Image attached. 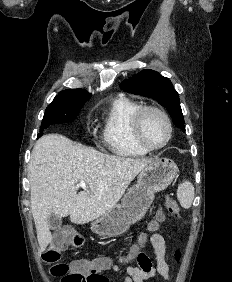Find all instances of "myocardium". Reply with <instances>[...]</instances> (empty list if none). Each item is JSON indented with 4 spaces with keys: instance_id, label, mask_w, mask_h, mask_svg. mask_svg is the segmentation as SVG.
<instances>
[{
    "instance_id": "1",
    "label": "myocardium",
    "mask_w": 232,
    "mask_h": 282,
    "mask_svg": "<svg viewBox=\"0 0 232 282\" xmlns=\"http://www.w3.org/2000/svg\"><path fill=\"white\" fill-rule=\"evenodd\" d=\"M148 112H154V113L159 114L166 122V125L168 128V135H167L166 140L162 144L157 145V146L149 144L145 140L143 133H142L143 119H144V116ZM131 129H132V135H133L135 142L147 151H156V150H160L166 147L169 144V142L171 141L172 136H173V124H172V121L169 115L163 109L157 106H153V105H144V106L139 107V109L134 113L132 117Z\"/></svg>"
}]
</instances>
